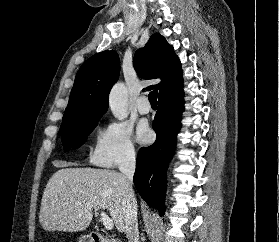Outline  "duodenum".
Masks as SVG:
<instances>
[{
    "instance_id": "obj_1",
    "label": "duodenum",
    "mask_w": 279,
    "mask_h": 242,
    "mask_svg": "<svg viewBox=\"0 0 279 242\" xmlns=\"http://www.w3.org/2000/svg\"><path fill=\"white\" fill-rule=\"evenodd\" d=\"M91 241L92 242H117L101 234H92Z\"/></svg>"
}]
</instances>
